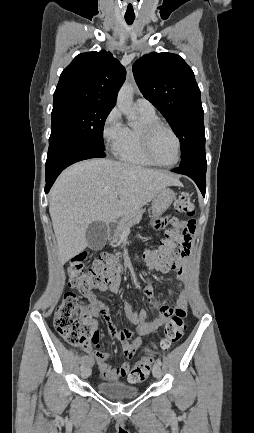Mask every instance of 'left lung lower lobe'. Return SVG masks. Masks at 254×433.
Returning <instances> with one entry per match:
<instances>
[{"label":"left lung lower lobe","mask_w":254,"mask_h":433,"mask_svg":"<svg viewBox=\"0 0 254 433\" xmlns=\"http://www.w3.org/2000/svg\"><path fill=\"white\" fill-rule=\"evenodd\" d=\"M206 168L207 166L191 164L180 166L172 171L189 176L197 184L204 197L206 191Z\"/></svg>","instance_id":"0a47b994"}]
</instances>
